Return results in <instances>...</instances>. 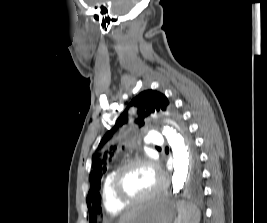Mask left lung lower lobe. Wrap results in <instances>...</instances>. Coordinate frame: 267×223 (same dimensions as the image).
<instances>
[{"instance_id":"1","label":"left lung lower lobe","mask_w":267,"mask_h":223,"mask_svg":"<svg viewBox=\"0 0 267 223\" xmlns=\"http://www.w3.org/2000/svg\"><path fill=\"white\" fill-rule=\"evenodd\" d=\"M187 176H190L194 181H198L200 176H203V171H187Z\"/></svg>"}]
</instances>
